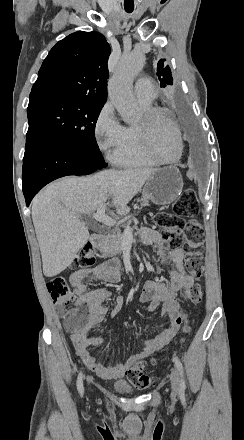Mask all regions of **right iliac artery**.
Here are the masks:
<instances>
[{"instance_id":"obj_1","label":"right iliac artery","mask_w":244,"mask_h":440,"mask_svg":"<svg viewBox=\"0 0 244 440\" xmlns=\"http://www.w3.org/2000/svg\"><path fill=\"white\" fill-rule=\"evenodd\" d=\"M77 389L78 392L83 395L84 392V387H83V376H82V372L79 373L78 375V379H77Z\"/></svg>"}]
</instances>
